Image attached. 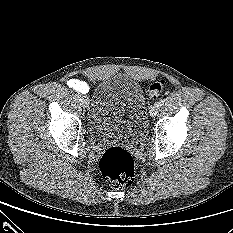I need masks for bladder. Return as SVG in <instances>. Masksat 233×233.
I'll return each instance as SVG.
<instances>
[{
    "label": "bladder",
    "instance_id": "obj_1",
    "mask_svg": "<svg viewBox=\"0 0 233 233\" xmlns=\"http://www.w3.org/2000/svg\"><path fill=\"white\" fill-rule=\"evenodd\" d=\"M147 101L141 85L118 74L97 86L88 117V128L95 142L138 143L147 130Z\"/></svg>",
    "mask_w": 233,
    "mask_h": 233
}]
</instances>
